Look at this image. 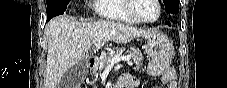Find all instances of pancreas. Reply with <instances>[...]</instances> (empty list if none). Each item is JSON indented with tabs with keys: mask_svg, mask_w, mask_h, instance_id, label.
<instances>
[{
	"mask_svg": "<svg viewBox=\"0 0 227 88\" xmlns=\"http://www.w3.org/2000/svg\"><path fill=\"white\" fill-rule=\"evenodd\" d=\"M123 51L119 50L115 54H110L108 56H104L100 59L99 66L93 69V74H95L97 71L103 70L105 67L110 65V60L114 56H119ZM126 53L131 56L133 61L136 64H141L143 62V55L139 49L133 48L130 50H127Z\"/></svg>",
	"mask_w": 227,
	"mask_h": 88,
	"instance_id": "obj_1",
	"label": "pancreas"
}]
</instances>
